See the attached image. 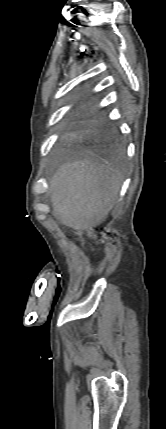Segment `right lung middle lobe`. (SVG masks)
Listing matches in <instances>:
<instances>
[{
  "label": "right lung middle lobe",
  "instance_id": "dd1d6c3e",
  "mask_svg": "<svg viewBox=\"0 0 166 429\" xmlns=\"http://www.w3.org/2000/svg\"><path fill=\"white\" fill-rule=\"evenodd\" d=\"M105 140H117V134L115 132L111 133L109 136L104 138Z\"/></svg>",
  "mask_w": 166,
  "mask_h": 429
}]
</instances>
